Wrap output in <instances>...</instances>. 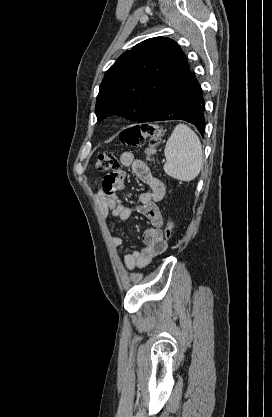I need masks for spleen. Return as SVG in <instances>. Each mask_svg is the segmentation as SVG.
I'll return each mask as SVG.
<instances>
[{
  "label": "spleen",
  "instance_id": "spleen-1",
  "mask_svg": "<svg viewBox=\"0 0 272 417\" xmlns=\"http://www.w3.org/2000/svg\"><path fill=\"white\" fill-rule=\"evenodd\" d=\"M164 155V171L167 175L181 180L195 179L203 167V152L200 139L185 124H178L169 137Z\"/></svg>",
  "mask_w": 272,
  "mask_h": 417
}]
</instances>
